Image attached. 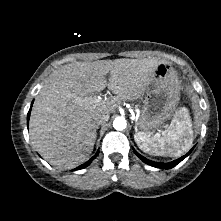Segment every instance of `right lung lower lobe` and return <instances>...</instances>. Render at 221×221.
Here are the masks:
<instances>
[{
    "mask_svg": "<svg viewBox=\"0 0 221 221\" xmlns=\"http://www.w3.org/2000/svg\"><path fill=\"white\" fill-rule=\"evenodd\" d=\"M32 104H33V102H32ZM31 109H32V106H31V108H30V110H29V112H28V116H27V120H28V121H29ZM97 155H98V152H97L90 160H88L86 163L80 165L79 167H77V168L74 169V170H80V169H83V168L87 167L88 165H90V163L93 161V159H94Z\"/></svg>",
    "mask_w": 221,
    "mask_h": 221,
    "instance_id": "obj_1",
    "label": "right lung lower lobe"
}]
</instances>
